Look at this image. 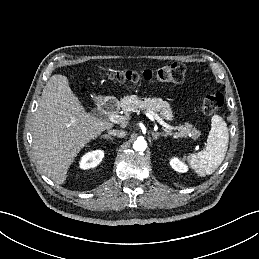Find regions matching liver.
I'll use <instances>...</instances> for the list:
<instances>
[{"mask_svg": "<svg viewBox=\"0 0 259 259\" xmlns=\"http://www.w3.org/2000/svg\"><path fill=\"white\" fill-rule=\"evenodd\" d=\"M113 124L85 112L66 76L46 83L35 112L32 135L36 162L43 173L63 184L81 149Z\"/></svg>", "mask_w": 259, "mask_h": 259, "instance_id": "1", "label": "liver"}]
</instances>
